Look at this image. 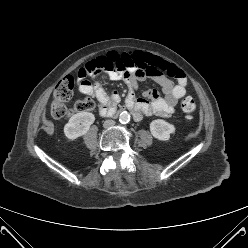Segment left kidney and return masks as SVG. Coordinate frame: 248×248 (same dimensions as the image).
Here are the masks:
<instances>
[{
	"instance_id": "5707ae66",
	"label": "left kidney",
	"mask_w": 248,
	"mask_h": 248,
	"mask_svg": "<svg viewBox=\"0 0 248 248\" xmlns=\"http://www.w3.org/2000/svg\"><path fill=\"white\" fill-rule=\"evenodd\" d=\"M175 126L162 119L154 120L150 123V131L154 138L167 141L170 135L175 133Z\"/></svg>"
}]
</instances>
